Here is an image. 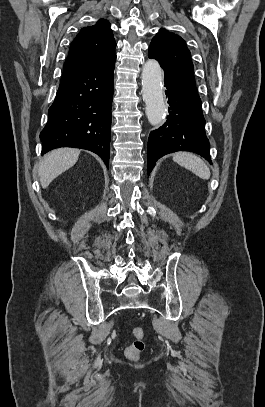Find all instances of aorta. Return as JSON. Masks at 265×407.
<instances>
[{"instance_id": "aorta-1", "label": "aorta", "mask_w": 265, "mask_h": 407, "mask_svg": "<svg viewBox=\"0 0 265 407\" xmlns=\"http://www.w3.org/2000/svg\"><path fill=\"white\" fill-rule=\"evenodd\" d=\"M162 79L163 73L159 63L154 59L148 60L142 70V97L146 105V116L153 126L161 124L167 112Z\"/></svg>"}]
</instances>
